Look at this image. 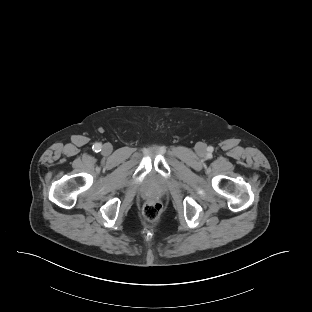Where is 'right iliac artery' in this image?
<instances>
[{"instance_id": "right-iliac-artery-1", "label": "right iliac artery", "mask_w": 312, "mask_h": 312, "mask_svg": "<svg viewBox=\"0 0 312 312\" xmlns=\"http://www.w3.org/2000/svg\"><path fill=\"white\" fill-rule=\"evenodd\" d=\"M93 150L95 151V152H100L101 151V148H102V146H101V144L100 143H95L94 145H93Z\"/></svg>"}]
</instances>
